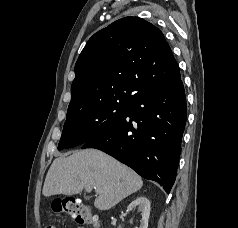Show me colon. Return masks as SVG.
I'll use <instances>...</instances> for the list:
<instances>
[{
  "instance_id": "5ec220e1",
  "label": "colon",
  "mask_w": 238,
  "mask_h": 228,
  "mask_svg": "<svg viewBox=\"0 0 238 228\" xmlns=\"http://www.w3.org/2000/svg\"><path fill=\"white\" fill-rule=\"evenodd\" d=\"M52 210L57 213L69 214L77 224L98 227V216L86 205L76 201L74 198H65L52 204ZM44 228H55L53 225H46Z\"/></svg>"
}]
</instances>
